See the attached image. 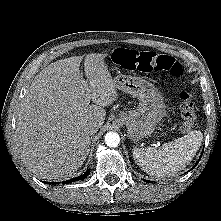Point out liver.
I'll list each match as a JSON object with an SVG mask.
<instances>
[{
    "label": "liver",
    "instance_id": "6515ba94",
    "mask_svg": "<svg viewBox=\"0 0 221 221\" xmlns=\"http://www.w3.org/2000/svg\"><path fill=\"white\" fill-rule=\"evenodd\" d=\"M105 54L84 58L86 80L80 73L82 56L58 60L31 83L16 122V149L38 178L71 177L89 154L87 124L103 125L104 107L117 99ZM94 104H90V101Z\"/></svg>",
    "mask_w": 221,
    "mask_h": 221
}]
</instances>
